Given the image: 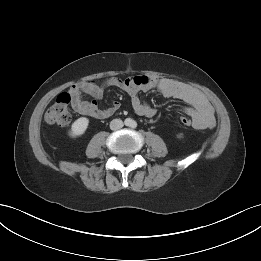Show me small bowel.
Masks as SVG:
<instances>
[{"instance_id": "small-bowel-1", "label": "small bowel", "mask_w": 261, "mask_h": 261, "mask_svg": "<svg viewBox=\"0 0 261 261\" xmlns=\"http://www.w3.org/2000/svg\"><path fill=\"white\" fill-rule=\"evenodd\" d=\"M119 88L125 91L131 99L132 108L139 116L152 118L156 110L138 97L139 91L156 90L167 98L179 99L190 107L184 113L192 120L195 129H211L215 126L214 110L207 98L198 90L169 78H155L146 75L130 76L125 79L111 77L101 83L80 82L69 89L73 109L84 116L95 119H105L112 116L120 107L114 101L110 107L100 109L97 101L103 97L105 89ZM84 95L91 96L94 100L87 101Z\"/></svg>"}]
</instances>
